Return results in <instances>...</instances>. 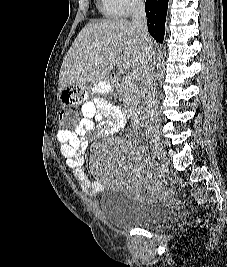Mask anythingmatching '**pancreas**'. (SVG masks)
I'll return each mask as SVG.
<instances>
[{"label":"pancreas","mask_w":227,"mask_h":267,"mask_svg":"<svg viewBox=\"0 0 227 267\" xmlns=\"http://www.w3.org/2000/svg\"><path fill=\"white\" fill-rule=\"evenodd\" d=\"M116 91L122 98L125 108L134 110L137 108L140 101V93L137 85H129L125 77L118 79L115 85Z\"/></svg>","instance_id":"obj_1"}]
</instances>
